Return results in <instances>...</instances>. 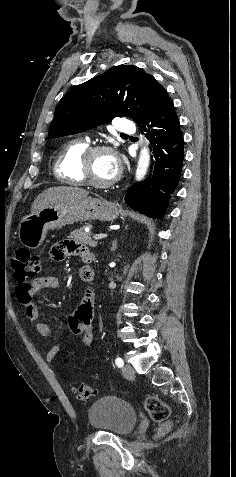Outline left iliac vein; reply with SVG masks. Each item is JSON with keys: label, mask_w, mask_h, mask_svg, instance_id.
I'll return each mask as SVG.
<instances>
[{"label": "left iliac vein", "mask_w": 236, "mask_h": 477, "mask_svg": "<svg viewBox=\"0 0 236 477\" xmlns=\"http://www.w3.org/2000/svg\"><path fill=\"white\" fill-rule=\"evenodd\" d=\"M122 373L128 379H132L135 374L134 369L130 365H125L122 368Z\"/></svg>", "instance_id": "left-iliac-vein-1"}]
</instances>
